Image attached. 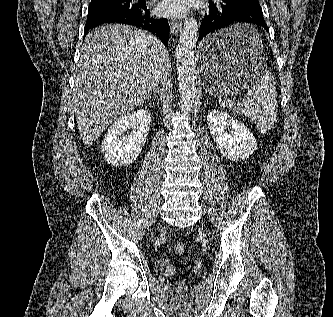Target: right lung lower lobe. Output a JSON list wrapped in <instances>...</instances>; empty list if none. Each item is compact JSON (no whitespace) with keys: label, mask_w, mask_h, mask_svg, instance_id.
Wrapping results in <instances>:
<instances>
[{"label":"right lung lower lobe","mask_w":333,"mask_h":317,"mask_svg":"<svg viewBox=\"0 0 333 317\" xmlns=\"http://www.w3.org/2000/svg\"><path fill=\"white\" fill-rule=\"evenodd\" d=\"M104 23H122L156 33L165 46H168L169 24L166 19H155L150 16L146 5L137 4L129 9H104L88 12L84 36L91 28Z\"/></svg>","instance_id":"obj_1"}]
</instances>
